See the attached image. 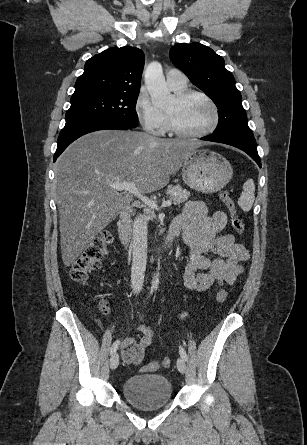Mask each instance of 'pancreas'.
<instances>
[{"label":"pancreas","instance_id":"1","mask_svg":"<svg viewBox=\"0 0 307 445\" xmlns=\"http://www.w3.org/2000/svg\"><path fill=\"white\" fill-rule=\"evenodd\" d=\"M166 194H169V198L173 200L174 204L185 202V200H188L190 196L189 190H186V188H182L180 184H176V186H172V184H169ZM143 212L145 220H154V218H156V214L153 208H144Z\"/></svg>","mask_w":307,"mask_h":445}]
</instances>
